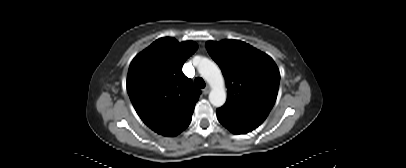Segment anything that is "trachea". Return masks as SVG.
Returning a JSON list of instances; mask_svg holds the SVG:
<instances>
[{"label": "trachea", "mask_w": 406, "mask_h": 168, "mask_svg": "<svg viewBox=\"0 0 406 168\" xmlns=\"http://www.w3.org/2000/svg\"><path fill=\"white\" fill-rule=\"evenodd\" d=\"M194 83L197 88H204L206 85L204 80L201 77L195 78Z\"/></svg>", "instance_id": "1"}]
</instances>
